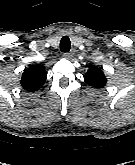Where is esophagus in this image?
I'll use <instances>...</instances> for the list:
<instances>
[{
    "mask_svg": "<svg viewBox=\"0 0 135 165\" xmlns=\"http://www.w3.org/2000/svg\"><path fill=\"white\" fill-rule=\"evenodd\" d=\"M73 55H74V52L71 51V52H65V53H63L62 56H63L64 58H66V59H70V58L73 57Z\"/></svg>",
    "mask_w": 135,
    "mask_h": 165,
    "instance_id": "obj_1",
    "label": "esophagus"
}]
</instances>
